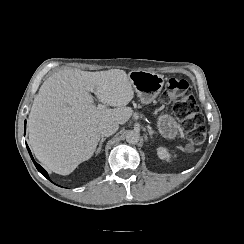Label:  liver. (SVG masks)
I'll use <instances>...</instances> for the list:
<instances>
[{
	"instance_id": "obj_1",
	"label": "liver",
	"mask_w": 244,
	"mask_h": 244,
	"mask_svg": "<svg viewBox=\"0 0 244 244\" xmlns=\"http://www.w3.org/2000/svg\"><path fill=\"white\" fill-rule=\"evenodd\" d=\"M88 88L95 89L102 107L94 105ZM133 96L132 84L120 69L54 73L41 85L29 114V143L36 158L49 170L69 175L92 157L101 125L130 119L133 110L126 105Z\"/></svg>"
}]
</instances>
